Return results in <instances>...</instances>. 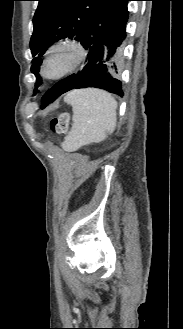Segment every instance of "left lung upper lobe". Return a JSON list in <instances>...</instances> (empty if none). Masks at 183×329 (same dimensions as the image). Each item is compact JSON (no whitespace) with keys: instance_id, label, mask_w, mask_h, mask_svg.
I'll return each mask as SVG.
<instances>
[{"instance_id":"obj_1","label":"left lung upper lobe","mask_w":183,"mask_h":329,"mask_svg":"<svg viewBox=\"0 0 183 329\" xmlns=\"http://www.w3.org/2000/svg\"><path fill=\"white\" fill-rule=\"evenodd\" d=\"M30 40L31 72L36 76L34 94L41 85L39 69L42 55L56 41L70 38L80 41L98 14L114 0H37Z\"/></svg>"}]
</instances>
